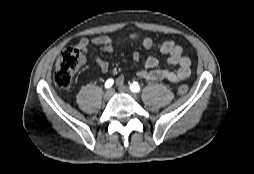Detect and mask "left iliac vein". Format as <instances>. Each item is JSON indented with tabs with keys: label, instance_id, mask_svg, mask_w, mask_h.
I'll list each match as a JSON object with an SVG mask.
<instances>
[{
	"label": "left iliac vein",
	"instance_id": "obj_1",
	"mask_svg": "<svg viewBox=\"0 0 254 174\" xmlns=\"http://www.w3.org/2000/svg\"><path fill=\"white\" fill-rule=\"evenodd\" d=\"M118 89H119V91L130 95L132 98H136L137 97L134 93H132L130 91V89L127 86L120 85Z\"/></svg>",
	"mask_w": 254,
	"mask_h": 174
}]
</instances>
